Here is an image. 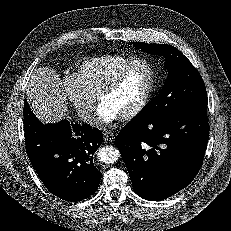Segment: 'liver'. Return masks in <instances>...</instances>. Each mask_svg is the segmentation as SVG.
Instances as JSON below:
<instances>
[{
  "label": "liver",
  "mask_w": 231,
  "mask_h": 231,
  "mask_svg": "<svg viewBox=\"0 0 231 231\" xmlns=\"http://www.w3.org/2000/svg\"><path fill=\"white\" fill-rule=\"evenodd\" d=\"M26 97L33 113L43 123H56L67 117L68 106L62 82L51 68L39 67L33 71Z\"/></svg>",
  "instance_id": "liver-1"
}]
</instances>
